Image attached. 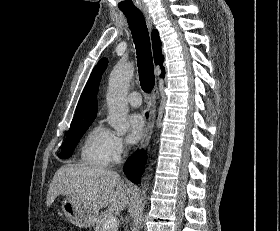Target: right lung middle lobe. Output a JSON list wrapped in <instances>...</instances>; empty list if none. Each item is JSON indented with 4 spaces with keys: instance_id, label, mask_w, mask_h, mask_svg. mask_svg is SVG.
Wrapping results in <instances>:
<instances>
[{
    "instance_id": "dd1d6c3e",
    "label": "right lung middle lobe",
    "mask_w": 280,
    "mask_h": 231,
    "mask_svg": "<svg viewBox=\"0 0 280 231\" xmlns=\"http://www.w3.org/2000/svg\"><path fill=\"white\" fill-rule=\"evenodd\" d=\"M92 122L93 121H90L78 126L70 127L63 143L62 151L60 154H58L59 158H69L72 155L76 145Z\"/></svg>"
}]
</instances>
